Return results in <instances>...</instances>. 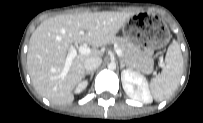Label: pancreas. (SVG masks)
Returning <instances> with one entry per match:
<instances>
[{
	"label": "pancreas",
	"mask_w": 203,
	"mask_h": 123,
	"mask_svg": "<svg viewBox=\"0 0 203 123\" xmlns=\"http://www.w3.org/2000/svg\"><path fill=\"white\" fill-rule=\"evenodd\" d=\"M113 43L117 45V48L122 50L121 59L130 68H134L145 74H150L153 71L154 61L151 56L142 52L138 46L134 45L125 38H114Z\"/></svg>",
	"instance_id": "obj_1"
}]
</instances>
